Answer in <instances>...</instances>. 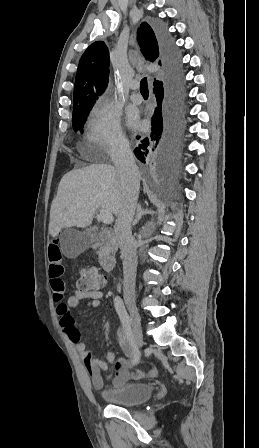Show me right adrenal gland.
Listing matches in <instances>:
<instances>
[{
    "label": "right adrenal gland",
    "mask_w": 259,
    "mask_h": 448,
    "mask_svg": "<svg viewBox=\"0 0 259 448\" xmlns=\"http://www.w3.org/2000/svg\"><path fill=\"white\" fill-rule=\"evenodd\" d=\"M145 214H151L150 210H143L140 204H138L137 216L133 222V226H136V224H138L139 220H141L142 216H145Z\"/></svg>",
    "instance_id": "1"
}]
</instances>
